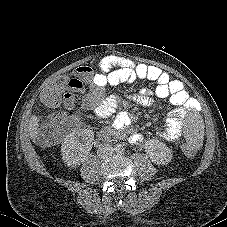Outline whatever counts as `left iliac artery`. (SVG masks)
<instances>
[{
    "label": "left iliac artery",
    "mask_w": 227,
    "mask_h": 227,
    "mask_svg": "<svg viewBox=\"0 0 227 227\" xmlns=\"http://www.w3.org/2000/svg\"><path fill=\"white\" fill-rule=\"evenodd\" d=\"M118 152L119 153H123L124 152V148H118Z\"/></svg>",
    "instance_id": "left-iliac-artery-1"
}]
</instances>
